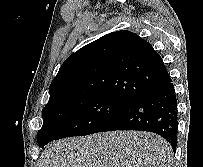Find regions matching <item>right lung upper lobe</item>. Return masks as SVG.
I'll use <instances>...</instances> for the list:
<instances>
[{
	"label": "right lung upper lobe",
	"instance_id": "1",
	"mask_svg": "<svg viewBox=\"0 0 203 167\" xmlns=\"http://www.w3.org/2000/svg\"><path fill=\"white\" fill-rule=\"evenodd\" d=\"M169 77L150 43L130 31L112 32L65 60L50 85V98L43 110L91 95L131 102L163 85Z\"/></svg>",
	"mask_w": 203,
	"mask_h": 167
}]
</instances>
